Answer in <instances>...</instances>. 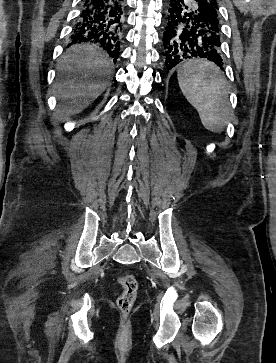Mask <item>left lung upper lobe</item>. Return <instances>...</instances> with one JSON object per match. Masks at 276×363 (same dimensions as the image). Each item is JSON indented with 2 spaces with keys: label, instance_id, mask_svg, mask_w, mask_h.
I'll return each instance as SVG.
<instances>
[{
  "label": "left lung upper lobe",
  "instance_id": "5c2ea615",
  "mask_svg": "<svg viewBox=\"0 0 276 363\" xmlns=\"http://www.w3.org/2000/svg\"><path fill=\"white\" fill-rule=\"evenodd\" d=\"M207 1L212 7L216 8L217 9V12H218V3L216 0H205ZM219 14V12H218Z\"/></svg>",
  "mask_w": 276,
  "mask_h": 363
}]
</instances>
